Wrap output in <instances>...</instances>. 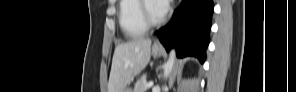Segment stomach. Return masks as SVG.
I'll return each mask as SVG.
<instances>
[{"mask_svg": "<svg viewBox=\"0 0 296 92\" xmlns=\"http://www.w3.org/2000/svg\"><path fill=\"white\" fill-rule=\"evenodd\" d=\"M161 54H162L161 49L152 48V55L154 57H159V56H161ZM122 92H133V91L130 88H125Z\"/></svg>", "mask_w": 296, "mask_h": 92, "instance_id": "1", "label": "stomach"}]
</instances>
